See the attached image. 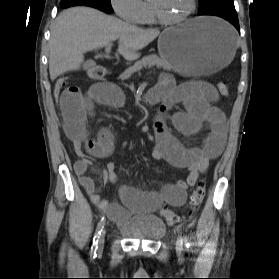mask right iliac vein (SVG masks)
<instances>
[{"instance_id":"1","label":"right iliac vein","mask_w":279,"mask_h":279,"mask_svg":"<svg viewBox=\"0 0 279 279\" xmlns=\"http://www.w3.org/2000/svg\"><path fill=\"white\" fill-rule=\"evenodd\" d=\"M105 234H106V231H105V230L102 231L101 236H100V240H99V246H100V248L103 247Z\"/></svg>"}]
</instances>
